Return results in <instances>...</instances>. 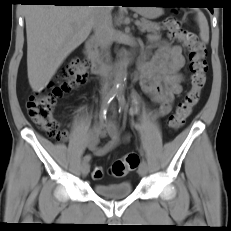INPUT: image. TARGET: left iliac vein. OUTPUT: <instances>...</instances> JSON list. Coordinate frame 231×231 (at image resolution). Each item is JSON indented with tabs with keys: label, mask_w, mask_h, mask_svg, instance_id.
Segmentation results:
<instances>
[{
	"label": "left iliac vein",
	"mask_w": 231,
	"mask_h": 231,
	"mask_svg": "<svg viewBox=\"0 0 231 231\" xmlns=\"http://www.w3.org/2000/svg\"><path fill=\"white\" fill-rule=\"evenodd\" d=\"M138 172L140 174V176L145 177L148 173V166L147 163L145 161H142L139 165V169Z\"/></svg>",
	"instance_id": "1"
}]
</instances>
